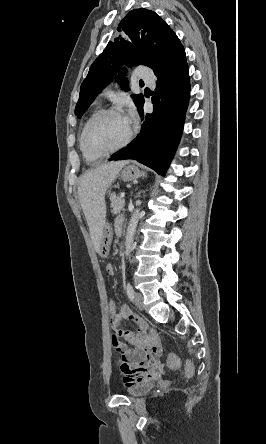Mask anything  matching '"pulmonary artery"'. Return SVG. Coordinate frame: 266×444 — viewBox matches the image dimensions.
<instances>
[{"label":"pulmonary artery","instance_id":"1","mask_svg":"<svg viewBox=\"0 0 266 444\" xmlns=\"http://www.w3.org/2000/svg\"><path fill=\"white\" fill-rule=\"evenodd\" d=\"M136 77L147 81L148 83L152 84L154 82V78L152 73L149 71V69L145 66H140L135 71Z\"/></svg>","mask_w":266,"mask_h":444}]
</instances>
